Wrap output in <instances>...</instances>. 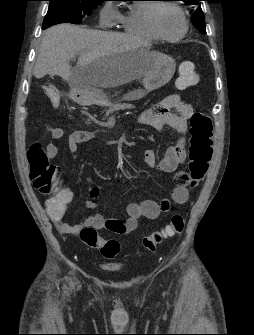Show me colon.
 Listing matches in <instances>:
<instances>
[{
    "label": "colon",
    "instance_id": "5ec220e1",
    "mask_svg": "<svg viewBox=\"0 0 254 335\" xmlns=\"http://www.w3.org/2000/svg\"><path fill=\"white\" fill-rule=\"evenodd\" d=\"M179 76L177 87L184 89L198 82V73L193 62L184 61L178 66ZM44 93L54 107H59L61 97L54 85H45ZM190 146H189V179L192 186L197 185L208 170L212 157L213 125L211 118L202 112H195L190 117ZM30 165V176L35 178V185L43 194H49L57 185L60 178L58 169L48 161L47 154L40 143H33L27 151ZM48 207L58 211L60 202L51 201ZM184 218L174 214L168 224L159 231L146 236L142 241L143 248L155 252L157 247L166 239L177 236L184 229ZM81 241L90 248L100 250L105 259H114L120 253V244L115 239L105 240L93 227H85L80 231Z\"/></svg>",
    "mask_w": 254,
    "mask_h": 335
}]
</instances>
